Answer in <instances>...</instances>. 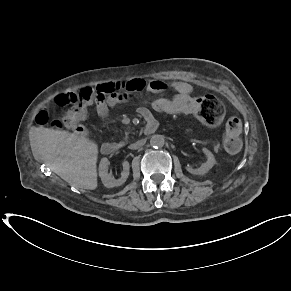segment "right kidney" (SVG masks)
<instances>
[{
    "label": "right kidney",
    "mask_w": 291,
    "mask_h": 291,
    "mask_svg": "<svg viewBox=\"0 0 291 291\" xmlns=\"http://www.w3.org/2000/svg\"><path fill=\"white\" fill-rule=\"evenodd\" d=\"M110 165V161L107 158H102L99 164V176L101 178L102 183L107 188H113L117 186H121L124 184L129 176V163L128 161L123 162V171L121 173V177L119 179H114L110 173H108V167Z\"/></svg>",
    "instance_id": "right-kidney-1"
}]
</instances>
